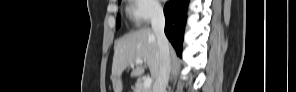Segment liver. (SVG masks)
Returning <instances> with one entry per match:
<instances>
[{
	"label": "liver",
	"instance_id": "6515ba94",
	"mask_svg": "<svg viewBox=\"0 0 296 92\" xmlns=\"http://www.w3.org/2000/svg\"><path fill=\"white\" fill-rule=\"evenodd\" d=\"M145 60L151 76L156 79L160 69V54L157 37L150 28H142L123 36L114 49L111 80L114 92H122V73L131 65V77H140L144 74V67L136 64L135 60ZM133 65V66H132Z\"/></svg>",
	"mask_w": 296,
	"mask_h": 92
}]
</instances>
